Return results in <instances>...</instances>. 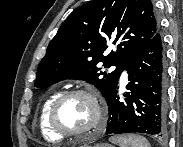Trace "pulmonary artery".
<instances>
[{
  "instance_id": "obj_1",
  "label": "pulmonary artery",
  "mask_w": 183,
  "mask_h": 147,
  "mask_svg": "<svg viewBox=\"0 0 183 147\" xmlns=\"http://www.w3.org/2000/svg\"><path fill=\"white\" fill-rule=\"evenodd\" d=\"M123 79L126 80V72L123 73Z\"/></svg>"
}]
</instances>
